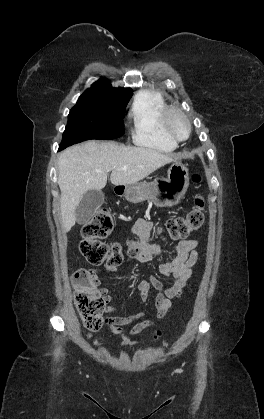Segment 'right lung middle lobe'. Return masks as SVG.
Instances as JSON below:
<instances>
[{
    "label": "right lung middle lobe",
    "mask_w": 264,
    "mask_h": 419,
    "mask_svg": "<svg viewBox=\"0 0 264 419\" xmlns=\"http://www.w3.org/2000/svg\"><path fill=\"white\" fill-rule=\"evenodd\" d=\"M130 98L83 93L70 110L59 150L90 139L111 140L124 134V113Z\"/></svg>",
    "instance_id": "dd1d6c3e"
}]
</instances>
